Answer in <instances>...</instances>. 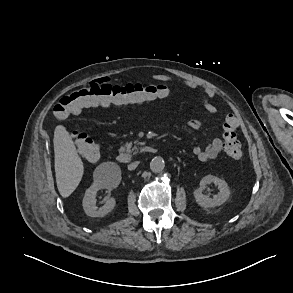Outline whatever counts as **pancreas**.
I'll return each mask as SVG.
<instances>
[{
  "label": "pancreas",
  "instance_id": "obj_1",
  "mask_svg": "<svg viewBox=\"0 0 293 293\" xmlns=\"http://www.w3.org/2000/svg\"><path fill=\"white\" fill-rule=\"evenodd\" d=\"M137 142H134V144H136ZM120 151L124 152H128V153H137L138 151V148L136 146H133V143H126L124 146H122L120 148Z\"/></svg>",
  "mask_w": 293,
  "mask_h": 293
}]
</instances>
